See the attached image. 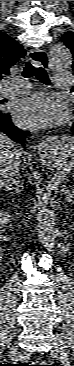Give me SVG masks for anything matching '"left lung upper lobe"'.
I'll return each mask as SVG.
<instances>
[{
	"label": "left lung upper lobe",
	"instance_id": "1",
	"mask_svg": "<svg viewBox=\"0 0 74 366\" xmlns=\"http://www.w3.org/2000/svg\"><path fill=\"white\" fill-rule=\"evenodd\" d=\"M61 41L66 45V47H68L70 49V51L73 54V58H74V32L72 31H68L66 32L62 38ZM73 69H74V61H73ZM72 92H74V88L72 89Z\"/></svg>",
	"mask_w": 74,
	"mask_h": 366
}]
</instances>
